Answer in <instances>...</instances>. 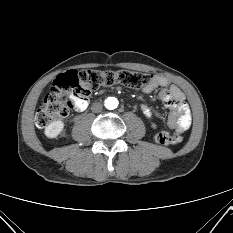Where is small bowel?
I'll use <instances>...</instances> for the list:
<instances>
[{
    "label": "small bowel",
    "mask_w": 233,
    "mask_h": 233,
    "mask_svg": "<svg viewBox=\"0 0 233 233\" xmlns=\"http://www.w3.org/2000/svg\"><path fill=\"white\" fill-rule=\"evenodd\" d=\"M160 89L157 97L164 103L165 107L170 110V115L167 119V126L177 132H184L190 128L192 124L191 110L185 102L183 92L162 75H153L149 84L142 89L144 93H151ZM89 101L79 102L76 110L81 112L87 109ZM141 111L148 118L152 119L160 117V113L151 105L143 103Z\"/></svg>",
    "instance_id": "small-bowel-1"
}]
</instances>
